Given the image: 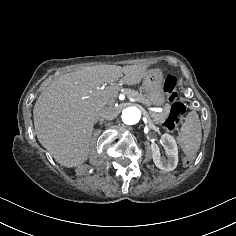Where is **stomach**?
I'll list each match as a JSON object with an SVG mask.
<instances>
[{
    "instance_id": "0dacf381",
    "label": "stomach",
    "mask_w": 236,
    "mask_h": 236,
    "mask_svg": "<svg viewBox=\"0 0 236 236\" xmlns=\"http://www.w3.org/2000/svg\"><path fill=\"white\" fill-rule=\"evenodd\" d=\"M152 74L143 80L144 100L148 105L163 106L166 96L163 89V74L160 70H151Z\"/></svg>"
}]
</instances>
